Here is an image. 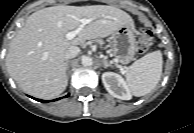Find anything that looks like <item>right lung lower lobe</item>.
I'll list each match as a JSON object with an SVG mask.
<instances>
[{
	"label": "right lung lower lobe",
	"instance_id": "obj_1",
	"mask_svg": "<svg viewBox=\"0 0 194 133\" xmlns=\"http://www.w3.org/2000/svg\"><path fill=\"white\" fill-rule=\"evenodd\" d=\"M69 96V94L67 95V96H65V97H68ZM34 99V98H33ZM35 100H37V101H40V102H43V103H47V102H50V101H46V100H40V99H35ZM56 100H58V99H56ZM54 101V100H53Z\"/></svg>",
	"mask_w": 194,
	"mask_h": 133
}]
</instances>
